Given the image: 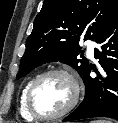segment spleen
Masks as SVG:
<instances>
[{
  "label": "spleen",
  "mask_w": 118,
  "mask_h": 123,
  "mask_svg": "<svg viewBox=\"0 0 118 123\" xmlns=\"http://www.w3.org/2000/svg\"><path fill=\"white\" fill-rule=\"evenodd\" d=\"M90 123H112V122L107 120H95V121H91Z\"/></svg>",
  "instance_id": "obj_1"
}]
</instances>
